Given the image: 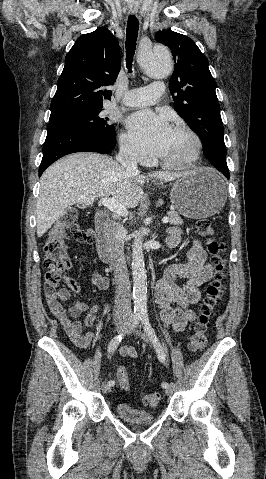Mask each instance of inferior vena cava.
<instances>
[{
	"label": "inferior vena cava",
	"mask_w": 266,
	"mask_h": 479,
	"mask_svg": "<svg viewBox=\"0 0 266 479\" xmlns=\"http://www.w3.org/2000/svg\"><path fill=\"white\" fill-rule=\"evenodd\" d=\"M138 154L128 144H121L116 160L130 173L138 174ZM125 230L120 223L112 222L108 226V243L111 255V266L114 271L116 296L114 304V318L130 319L131 285L124 257L123 237Z\"/></svg>",
	"instance_id": "obj_1"
}]
</instances>
